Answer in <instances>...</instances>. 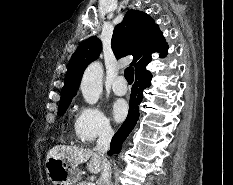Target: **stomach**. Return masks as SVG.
Instances as JSON below:
<instances>
[{"label":"stomach","instance_id":"obj_1","mask_svg":"<svg viewBox=\"0 0 233 185\" xmlns=\"http://www.w3.org/2000/svg\"><path fill=\"white\" fill-rule=\"evenodd\" d=\"M45 169L53 185H75L80 179V172L76 166L61 158H47Z\"/></svg>","mask_w":233,"mask_h":185}]
</instances>
